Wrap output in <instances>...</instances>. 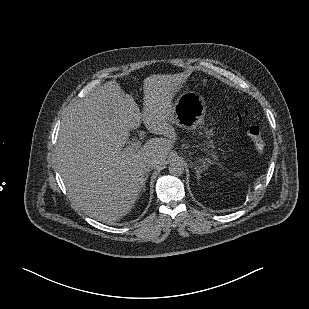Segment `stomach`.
<instances>
[{
  "label": "stomach",
  "mask_w": 309,
  "mask_h": 309,
  "mask_svg": "<svg viewBox=\"0 0 309 309\" xmlns=\"http://www.w3.org/2000/svg\"><path fill=\"white\" fill-rule=\"evenodd\" d=\"M206 110L207 105L203 98L185 94L176 102L171 113V122L183 128L194 127L203 123Z\"/></svg>",
  "instance_id": "stomach-1"
}]
</instances>
